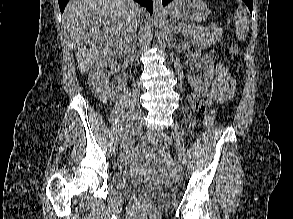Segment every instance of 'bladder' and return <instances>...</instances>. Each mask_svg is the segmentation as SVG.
I'll return each mask as SVG.
<instances>
[{
    "mask_svg": "<svg viewBox=\"0 0 293 219\" xmlns=\"http://www.w3.org/2000/svg\"><path fill=\"white\" fill-rule=\"evenodd\" d=\"M113 185L120 192L140 197L163 209L175 206L179 199L174 185L144 180L127 171H117L113 176Z\"/></svg>",
    "mask_w": 293,
    "mask_h": 219,
    "instance_id": "1",
    "label": "bladder"
}]
</instances>
